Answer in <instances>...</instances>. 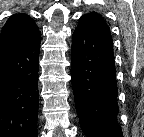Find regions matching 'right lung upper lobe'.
<instances>
[{"label": "right lung upper lobe", "instance_id": "obj_1", "mask_svg": "<svg viewBox=\"0 0 144 137\" xmlns=\"http://www.w3.org/2000/svg\"><path fill=\"white\" fill-rule=\"evenodd\" d=\"M39 33L33 19L27 14H14L0 33V54L25 44Z\"/></svg>", "mask_w": 144, "mask_h": 137}]
</instances>
